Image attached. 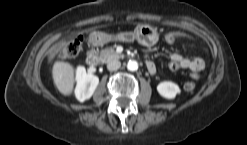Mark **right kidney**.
<instances>
[{
  "label": "right kidney",
  "mask_w": 247,
  "mask_h": 145,
  "mask_svg": "<svg viewBox=\"0 0 247 145\" xmlns=\"http://www.w3.org/2000/svg\"><path fill=\"white\" fill-rule=\"evenodd\" d=\"M77 85L75 96L80 102L90 99L99 84V78L93 74H87L83 66L76 70Z\"/></svg>",
  "instance_id": "obj_1"
}]
</instances>
